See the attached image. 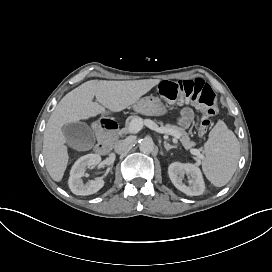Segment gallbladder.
I'll list each match as a JSON object with an SVG mask.
<instances>
[{
	"label": "gallbladder",
	"instance_id": "bac80fb5",
	"mask_svg": "<svg viewBox=\"0 0 272 272\" xmlns=\"http://www.w3.org/2000/svg\"><path fill=\"white\" fill-rule=\"evenodd\" d=\"M66 143L74 149H91L95 143L92 129L84 122L68 123L63 127Z\"/></svg>",
	"mask_w": 272,
	"mask_h": 272
}]
</instances>
